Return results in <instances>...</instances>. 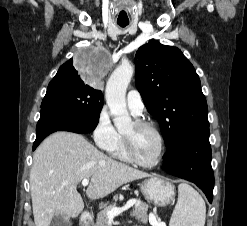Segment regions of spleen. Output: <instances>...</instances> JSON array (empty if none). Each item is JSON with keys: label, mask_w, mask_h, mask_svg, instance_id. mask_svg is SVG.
<instances>
[{"label": "spleen", "mask_w": 247, "mask_h": 226, "mask_svg": "<svg viewBox=\"0 0 247 226\" xmlns=\"http://www.w3.org/2000/svg\"><path fill=\"white\" fill-rule=\"evenodd\" d=\"M206 206L201 195L190 185L178 186V200L169 226H204Z\"/></svg>", "instance_id": "1"}]
</instances>
